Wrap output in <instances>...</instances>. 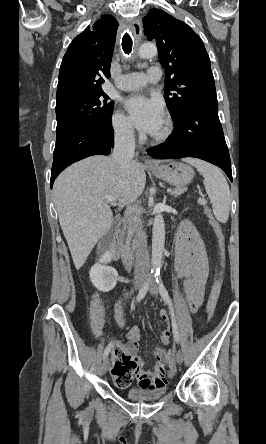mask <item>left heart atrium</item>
<instances>
[{"label":"left heart atrium","instance_id":"obj_1","mask_svg":"<svg viewBox=\"0 0 266 444\" xmlns=\"http://www.w3.org/2000/svg\"><path fill=\"white\" fill-rule=\"evenodd\" d=\"M125 105L134 124L141 131L154 135L161 129L164 111L159 100L136 94L128 98Z\"/></svg>","mask_w":266,"mask_h":444}]
</instances>
